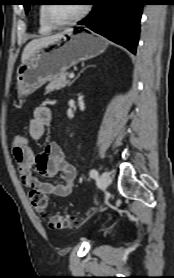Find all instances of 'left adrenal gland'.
<instances>
[{
	"instance_id": "left-adrenal-gland-1",
	"label": "left adrenal gland",
	"mask_w": 174,
	"mask_h": 278,
	"mask_svg": "<svg viewBox=\"0 0 174 278\" xmlns=\"http://www.w3.org/2000/svg\"><path fill=\"white\" fill-rule=\"evenodd\" d=\"M88 67H91V66L85 67V68L78 74L77 78H78V77L80 76V74H81L86 68H88ZM77 78H76V79H77ZM74 81H75V80H74ZM74 81H73V82H74ZM73 82H72V83H73ZM72 83H70V85H71Z\"/></svg>"
}]
</instances>
